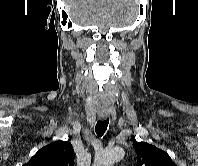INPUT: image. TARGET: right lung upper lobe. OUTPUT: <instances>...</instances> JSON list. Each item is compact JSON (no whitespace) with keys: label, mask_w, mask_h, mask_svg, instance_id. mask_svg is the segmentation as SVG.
I'll use <instances>...</instances> for the list:
<instances>
[{"label":"right lung upper lobe","mask_w":198,"mask_h":166,"mask_svg":"<svg viewBox=\"0 0 198 166\" xmlns=\"http://www.w3.org/2000/svg\"><path fill=\"white\" fill-rule=\"evenodd\" d=\"M75 154L69 141H56L41 148L24 166H74Z\"/></svg>","instance_id":"cb5924a9"}]
</instances>
